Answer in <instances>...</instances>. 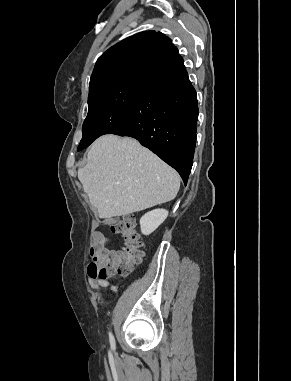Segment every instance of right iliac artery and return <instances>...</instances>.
Segmentation results:
<instances>
[{"instance_id": "82829eb1", "label": "right iliac artery", "mask_w": 291, "mask_h": 381, "mask_svg": "<svg viewBox=\"0 0 291 381\" xmlns=\"http://www.w3.org/2000/svg\"><path fill=\"white\" fill-rule=\"evenodd\" d=\"M109 337H110L111 345H112V347H114V346H115V340H114V337H113V335H112L111 333H109Z\"/></svg>"}]
</instances>
